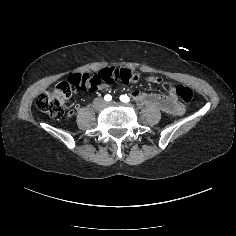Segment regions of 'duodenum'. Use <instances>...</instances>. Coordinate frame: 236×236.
I'll return each instance as SVG.
<instances>
[{"label":"duodenum","instance_id":"410a0bca","mask_svg":"<svg viewBox=\"0 0 236 236\" xmlns=\"http://www.w3.org/2000/svg\"><path fill=\"white\" fill-rule=\"evenodd\" d=\"M135 100L141 106H145L150 103H157L162 110L171 114H175L183 110L182 105L172 97H155L139 94L136 96Z\"/></svg>","mask_w":236,"mask_h":236}]
</instances>
